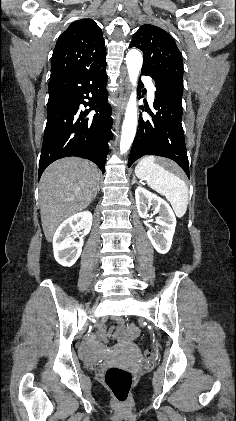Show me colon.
<instances>
[{"label":"colon","mask_w":236,"mask_h":421,"mask_svg":"<svg viewBox=\"0 0 236 421\" xmlns=\"http://www.w3.org/2000/svg\"><path fill=\"white\" fill-rule=\"evenodd\" d=\"M144 356L146 359H151L155 356V351L147 349L144 352ZM104 379L116 400L124 403L128 399L133 385L134 378L132 373L122 367L112 366L106 370Z\"/></svg>","instance_id":"colon-1"}]
</instances>
